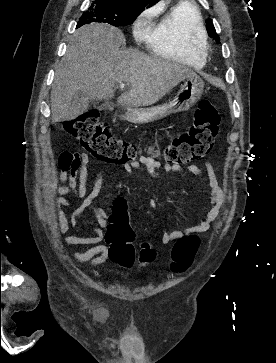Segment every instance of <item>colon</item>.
I'll return each mask as SVG.
<instances>
[{"label":"colon","mask_w":276,"mask_h":363,"mask_svg":"<svg viewBox=\"0 0 276 363\" xmlns=\"http://www.w3.org/2000/svg\"><path fill=\"white\" fill-rule=\"evenodd\" d=\"M220 115L209 100H202L195 110L194 122L190 128L175 136L162 150L163 160L170 165H185L209 154L218 133ZM65 132L75 137L81 146L94 157L106 162L121 164L135 161L139 147L114 137L100 124L97 111H90L63 123ZM155 153V149H150ZM110 244V259L123 267H131L137 260L148 265L155 260L156 252L147 242L141 244L136 254L133 229L124 219H111L106 232ZM199 247L196 235H187L176 241L172 248L170 270L173 273L187 271Z\"/></svg>","instance_id":"1"}]
</instances>
